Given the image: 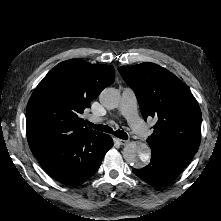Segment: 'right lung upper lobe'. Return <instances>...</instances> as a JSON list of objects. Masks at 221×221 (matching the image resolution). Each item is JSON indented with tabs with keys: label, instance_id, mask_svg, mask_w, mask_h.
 I'll return each instance as SVG.
<instances>
[{
	"label": "right lung upper lobe",
	"instance_id": "right-lung-upper-lobe-1",
	"mask_svg": "<svg viewBox=\"0 0 221 221\" xmlns=\"http://www.w3.org/2000/svg\"><path fill=\"white\" fill-rule=\"evenodd\" d=\"M115 80L110 65L71 59L59 63L43 78L26 108V133L36 157L84 134L99 133L80 117L101 91Z\"/></svg>",
	"mask_w": 221,
	"mask_h": 221
}]
</instances>
